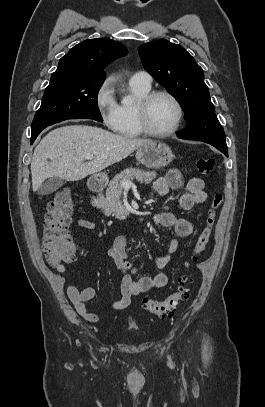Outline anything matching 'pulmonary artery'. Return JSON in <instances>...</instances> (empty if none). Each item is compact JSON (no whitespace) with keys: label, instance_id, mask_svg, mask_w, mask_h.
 I'll return each instance as SVG.
<instances>
[{"label":"pulmonary artery","instance_id":"pulmonary-artery-1","mask_svg":"<svg viewBox=\"0 0 265 407\" xmlns=\"http://www.w3.org/2000/svg\"><path fill=\"white\" fill-rule=\"evenodd\" d=\"M130 82L144 86H151L152 77L148 72L138 71L131 76Z\"/></svg>","mask_w":265,"mask_h":407}]
</instances>
